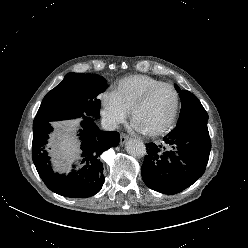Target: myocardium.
<instances>
[{"label":"myocardium","mask_w":248,"mask_h":248,"mask_svg":"<svg viewBox=\"0 0 248 248\" xmlns=\"http://www.w3.org/2000/svg\"><path fill=\"white\" fill-rule=\"evenodd\" d=\"M162 87H169L173 90L174 96H175L174 107H173V110H172V113H171L169 120L166 122V124L164 126H162L161 128H159L157 130H154V131L144 132V134L149 136V137L161 136V135L165 134L166 132H168L175 124V121H176V118L178 115L179 104H180V95H179L178 90L176 89V87L174 85H172L170 83H166V82L159 83V84L151 87L150 89H148L143 94V96L137 101V103L133 106V108L131 110V121L134 123L135 117L138 114V112L140 110H142L147 105L151 96Z\"/></svg>","instance_id":"myocardium-1"}]
</instances>
